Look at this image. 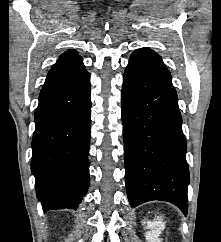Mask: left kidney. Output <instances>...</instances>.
I'll return each mask as SVG.
<instances>
[{"label":"left kidney","mask_w":221,"mask_h":242,"mask_svg":"<svg viewBox=\"0 0 221 242\" xmlns=\"http://www.w3.org/2000/svg\"><path fill=\"white\" fill-rule=\"evenodd\" d=\"M165 227V222L161 217H156L153 221L147 223V228L150 230L145 233L146 240L148 242H161L159 235Z\"/></svg>","instance_id":"obj_1"}]
</instances>
